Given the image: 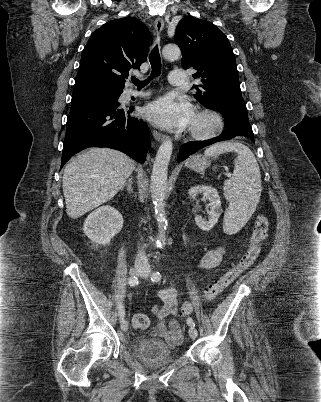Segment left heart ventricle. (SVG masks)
<instances>
[{
  "label": "left heart ventricle",
  "instance_id": "1",
  "mask_svg": "<svg viewBox=\"0 0 321 402\" xmlns=\"http://www.w3.org/2000/svg\"><path fill=\"white\" fill-rule=\"evenodd\" d=\"M211 126L210 119L198 115H194L189 127L206 130Z\"/></svg>",
  "mask_w": 321,
  "mask_h": 402
}]
</instances>
